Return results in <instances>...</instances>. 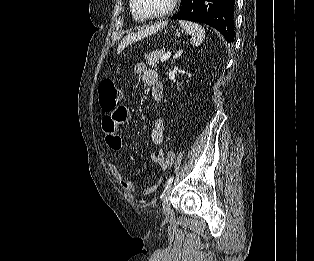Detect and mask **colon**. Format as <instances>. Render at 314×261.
<instances>
[{
    "instance_id": "1",
    "label": "colon",
    "mask_w": 314,
    "mask_h": 261,
    "mask_svg": "<svg viewBox=\"0 0 314 261\" xmlns=\"http://www.w3.org/2000/svg\"><path fill=\"white\" fill-rule=\"evenodd\" d=\"M122 101V91L112 80H103L99 86V106L109 114V109H119ZM166 167L173 165V155L168 153L163 160Z\"/></svg>"
}]
</instances>
